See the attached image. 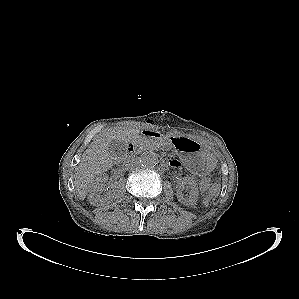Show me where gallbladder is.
I'll return each instance as SVG.
<instances>
[{
    "instance_id": "gallbladder-1",
    "label": "gallbladder",
    "mask_w": 299,
    "mask_h": 299,
    "mask_svg": "<svg viewBox=\"0 0 299 299\" xmlns=\"http://www.w3.org/2000/svg\"><path fill=\"white\" fill-rule=\"evenodd\" d=\"M109 152L118 156H123L126 152V145L120 141H112L109 145Z\"/></svg>"
}]
</instances>
